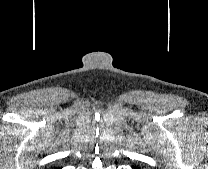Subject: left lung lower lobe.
Returning <instances> with one entry per match:
<instances>
[{
    "mask_svg": "<svg viewBox=\"0 0 208 169\" xmlns=\"http://www.w3.org/2000/svg\"><path fill=\"white\" fill-rule=\"evenodd\" d=\"M133 169H139V168H135V167H133Z\"/></svg>",
    "mask_w": 208,
    "mask_h": 169,
    "instance_id": "1",
    "label": "left lung lower lobe"
}]
</instances>
